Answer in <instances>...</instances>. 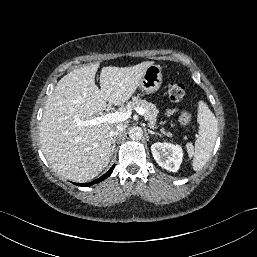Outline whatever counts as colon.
Masks as SVG:
<instances>
[{
    "label": "colon",
    "instance_id": "colon-1",
    "mask_svg": "<svg viewBox=\"0 0 257 257\" xmlns=\"http://www.w3.org/2000/svg\"><path fill=\"white\" fill-rule=\"evenodd\" d=\"M185 92V86L180 82L171 81L167 85V94L172 101L182 100ZM179 120L183 125H188L191 121L189 114L186 112L181 114Z\"/></svg>",
    "mask_w": 257,
    "mask_h": 257
}]
</instances>
